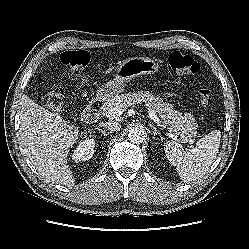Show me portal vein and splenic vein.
<instances>
[{
  "label": "portal vein and splenic vein",
  "instance_id": "portal-vein-and-splenic-vein-1",
  "mask_svg": "<svg viewBox=\"0 0 249 249\" xmlns=\"http://www.w3.org/2000/svg\"><path fill=\"white\" fill-rule=\"evenodd\" d=\"M122 113H123V110L116 106L106 112V117L110 119H118L122 115ZM148 114H149L150 119H152L158 126L163 127L159 117L153 111L149 110Z\"/></svg>",
  "mask_w": 249,
  "mask_h": 249
}]
</instances>
